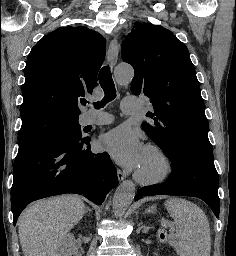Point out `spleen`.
<instances>
[{
	"mask_svg": "<svg viewBox=\"0 0 236 256\" xmlns=\"http://www.w3.org/2000/svg\"><path fill=\"white\" fill-rule=\"evenodd\" d=\"M165 206L176 226L181 256H210L209 222L201 208L182 198L166 200Z\"/></svg>",
	"mask_w": 236,
	"mask_h": 256,
	"instance_id": "obj_1",
	"label": "spleen"
}]
</instances>
